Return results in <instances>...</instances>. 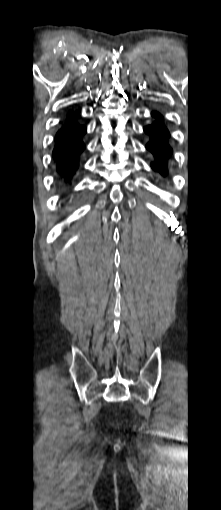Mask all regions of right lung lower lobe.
I'll use <instances>...</instances> for the list:
<instances>
[{
  "mask_svg": "<svg viewBox=\"0 0 221 510\" xmlns=\"http://www.w3.org/2000/svg\"><path fill=\"white\" fill-rule=\"evenodd\" d=\"M85 133L86 128L76 124L56 134L53 158L57 164V172L65 181H68L78 168L79 155L84 149L82 136Z\"/></svg>",
  "mask_w": 221,
  "mask_h": 510,
  "instance_id": "obj_1",
  "label": "right lung lower lobe"
}]
</instances>
